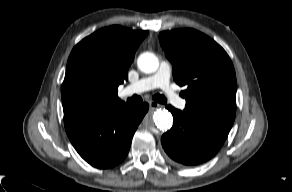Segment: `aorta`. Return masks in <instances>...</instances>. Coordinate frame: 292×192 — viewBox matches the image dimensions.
Returning <instances> with one entry per match:
<instances>
[{
    "label": "aorta",
    "instance_id": "obj_1",
    "mask_svg": "<svg viewBox=\"0 0 292 192\" xmlns=\"http://www.w3.org/2000/svg\"><path fill=\"white\" fill-rule=\"evenodd\" d=\"M138 68L147 74L154 73L159 67V60L153 53H142L137 60ZM173 116L165 109H159L154 112L152 118L146 117L144 119V125L150 130L158 128L162 131H167L172 127Z\"/></svg>",
    "mask_w": 292,
    "mask_h": 192
}]
</instances>
